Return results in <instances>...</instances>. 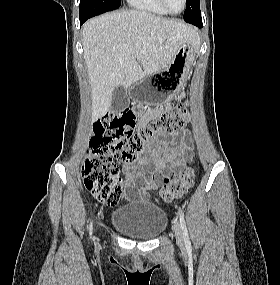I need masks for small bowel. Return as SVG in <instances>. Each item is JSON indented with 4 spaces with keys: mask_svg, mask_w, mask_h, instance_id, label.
<instances>
[{
    "mask_svg": "<svg viewBox=\"0 0 280 285\" xmlns=\"http://www.w3.org/2000/svg\"><path fill=\"white\" fill-rule=\"evenodd\" d=\"M183 97L184 94L180 96ZM157 112L146 113L140 126ZM192 158L193 144L187 131L175 132L171 136L164 134L146 155L137 157L134 162L124 163L126 197L137 202L148 200L150 190H156L181 172Z\"/></svg>",
    "mask_w": 280,
    "mask_h": 285,
    "instance_id": "small-bowel-1",
    "label": "small bowel"
}]
</instances>
